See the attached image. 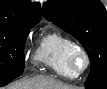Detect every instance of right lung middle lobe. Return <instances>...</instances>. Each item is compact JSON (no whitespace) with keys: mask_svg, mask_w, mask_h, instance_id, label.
<instances>
[{"mask_svg":"<svg viewBox=\"0 0 107 89\" xmlns=\"http://www.w3.org/2000/svg\"><path fill=\"white\" fill-rule=\"evenodd\" d=\"M30 28L0 22V86L22 75L24 44Z\"/></svg>","mask_w":107,"mask_h":89,"instance_id":"obj_1","label":"right lung middle lobe"}]
</instances>
